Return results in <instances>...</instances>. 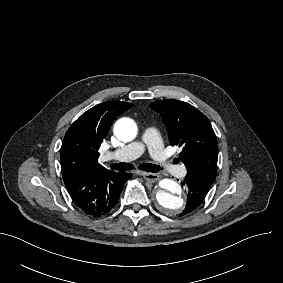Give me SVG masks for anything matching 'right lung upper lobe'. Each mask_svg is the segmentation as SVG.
<instances>
[{
  "label": "right lung upper lobe",
  "mask_w": 283,
  "mask_h": 283,
  "mask_svg": "<svg viewBox=\"0 0 283 283\" xmlns=\"http://www.w3.org/2000/svg\"><path fill=\"white\" fill-rule=\"evenodd\" d=\"M127 102L108 101L84 112L65 134L61 148L63 180L84 172L107 170L98 163V149L113 120L130 109ZM72 168L66 171V167Z\"/></svg>",
  "instance_id": "1"
}]
</instances>
